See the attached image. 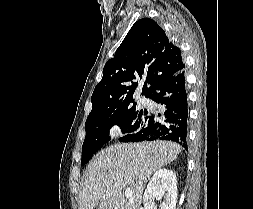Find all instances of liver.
I'll return each instance as SVG.
<instances>
[{"label": "liver", "instance_id": "obj_1", "mask_svg": "<svg viewBox=\"0 0 253 209\" xmlns=\"http://www.w3.org/2000/svg\"><path fill=\"white\" fill-rule=\"evenodd\" d=\"M181 146L170 141L109 146L88 164L79 193L80 209H140L151 175L178 158ZM132 189L127 202L123 190Z\"/></svg>", "mask_w": 253, "mask_h": 209}]
</instances>
